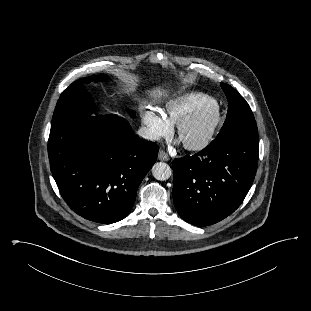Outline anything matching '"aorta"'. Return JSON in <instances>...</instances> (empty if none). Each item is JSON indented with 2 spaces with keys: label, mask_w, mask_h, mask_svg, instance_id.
Masks as SVG:
<instances>
[{
  "label": "aorta",
  "mask_w": 311,
  "mask_h": 311,
  "mask_svg": "<svg viewBox=\"0 0 311 311\" xmlns=\"http://www.w3.org/2000/svg\"><path fill=\"white\" fill-rule=\"evenodd\" d=\"M152 174L155 179L164 181L170 178L172 170L168 164L164 162H157L152 167Z\"/></svg>",
  "instance_id": "762f6f07"
}]
</instances>
